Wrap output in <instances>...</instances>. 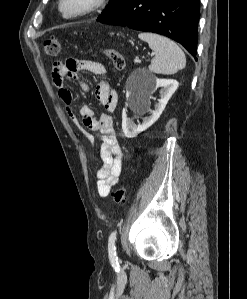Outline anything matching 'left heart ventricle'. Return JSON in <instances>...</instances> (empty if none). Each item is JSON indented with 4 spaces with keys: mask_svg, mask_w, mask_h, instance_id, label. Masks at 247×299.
I'll return each mask as SVG.
<instances>
[{
    "mask_svg": "<svg viewBox=\"0 0 247 299\" xmlns=\"http://www.w3.org/2000/svg\"><path fill=\"white\" fill-rule=\"evenodd\" d=\"M80 4V0H70V2L66 5V9L71 11L77 8Z\"/></svg>",
    "mask_w": 247,
    "mask_h": 299,
    "instance_id": "left-heart-ventricle-1",
    "label": "left heart ventricle"
}]
</instances>
